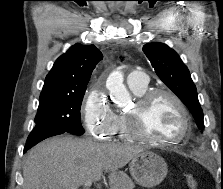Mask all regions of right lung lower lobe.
Wrapping results in <instances>:
<instances>
[{
    "label": "right lung lower lobe",
    "mask_w": 223,
    "mask_h": 189,
    "mask_svg": "<svg viewBox=\"0 0 223 189\" xmlns=\"http://www.w3.org/2000/svg\"><path fill=\"white\" fill-rule=\"evenodd\" d=\"M63 133H65V131H62V130L32 131L30 135L28 136L23 152L25 153L28 149H30L31 147H33L34 145H36L37 143H39L40 141L48 137L63 134Z\"/></svg>",
    "instance_id": "right-lung-lower-lobe-1"
}]
</instances>
